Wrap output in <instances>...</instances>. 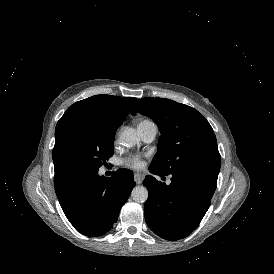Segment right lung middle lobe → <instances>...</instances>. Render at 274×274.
Wrapping results in <instances>:
<instances>
[{
  "mask_svg": "<svg viewBox=\"0 0 274 274\" xmlns=\"http://www.w3.org/2000/svg\"><path fill=\"white\" fill-rule=\"evenodd\" d=\"M119 117H88L66 127L53 150V159L66 175L97 171L114 154Z\"/></svg>",
  "mask_w": 274,
  "mask_h": 274,
  "instance_id": "right-lung-middle-lobe-1",
  "label": "right lung middle lobe"
}]
</instances>
